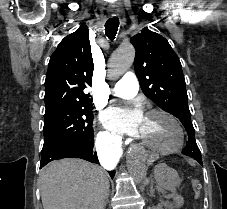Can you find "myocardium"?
Returning <instances> with one entry per match:
<instances>
[{"label":"myocardium","mask_w":227,"mask_h":209,"mask_svg":"<svg viewBox=\"0 0 227 209\" xmlns=\"http://www.w3.org/2000/svg\"><path fill=\"white\" fill-rule=\"evenodd\" d=\"M154 114L162 115L163 117H165L168 121H170L174 125V127L176 128L177 134H178L177 142L172 147L160 148V147L150 144L149 142L143 140L142 138H140L139 136L136 135L137 140L143 147H145L148 150H150L154 153H157V154L166 155V154H172V153L178 152L183 147L184 141H185V132H184L183 126L181 125L180 121L167 110L160 109V108L149 110L147 112L146 116L154 115Z\"/></svg>","instance_id":"1"}]
</instances>
